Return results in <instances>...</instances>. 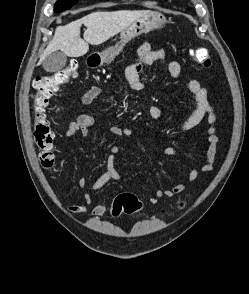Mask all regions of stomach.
Segmentation results:
<instances>
[{
	"instance_id": "0dacf381",
	"label": "stomach",
	"mask_w": 249,
	"mask_h": 294,
	"mask_svg": "<svg viewBox=\"0 0 249 294\" xmlns=\"http://www.w3.org/2000/svg\"><path fill=\"white\" fill-rule=\"evenodd\" d=\"M166 23L165 17L159 12L149 11L146 15L134 21L121 33V41L101 53L93 54L90 58L98 65L109 64L122 51L123 47L135 37L161 28Z\"/></svg>"
}]
</instances>
